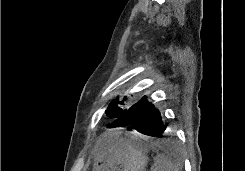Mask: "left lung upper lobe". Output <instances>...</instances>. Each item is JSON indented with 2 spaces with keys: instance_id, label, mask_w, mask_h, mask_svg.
<instances>
[{
  "instance_id": "obj_1",
  "label": "left lung upper lobe",
  "mask_w": 245,
  "mask_h": 171,
  "mask_svg": "<svg viewBox=\"0 0 245 171\" xmlns=\"http://www.w3.org/2000/svg\"><path fill=\"white\" fill-rule=\"evenodd\" d=\"M127 98L124 97V100ZM132 105L130 104H124L123 101H118V100H113L109 106L108 109L106 110L107 116L111 118H115L113 122L118 120ZM112 122V123H113ZM111 123V124H112Z\"/></svg>"
}]
</instances>
